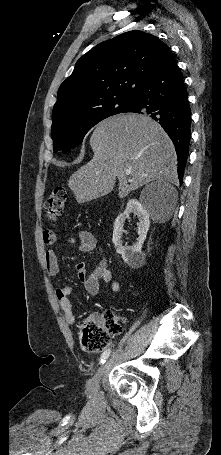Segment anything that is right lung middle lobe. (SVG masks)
I'll use <instances>...</instances> for the list:
<instances>
[{
  "label": "right lung middle lobe",
  "instance_id": "obj_1",
  "mask_svg": "<svg viewBox=\"0 0 221 455\" xmlns=\"http://www.w3.org/2000/svg\"><path fill=\"white\" fill-rule=\"evenodd\" d=\"M130 103L129 99H110L54 121L52 124L54 152L75 148L93 126L107 117L124 112Z\"/></svg>",
  "mask_w": 221,
  "mask_h": 455
}]
</instances>
